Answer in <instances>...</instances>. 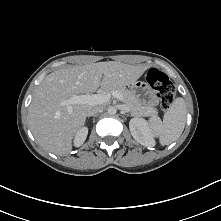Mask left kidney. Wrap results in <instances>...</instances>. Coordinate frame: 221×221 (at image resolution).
I'll list each match as a JSON object with an SVG mask.
<instances>
[{"mask_svg": "<svg viewBox=\"0 0 221 221\" xmlns=\"http://www.w3.org/2000/svg\"><path fill=\"white\" fill-rule=\"evenodd\" d=\"M129 129L133 138L141 145L147 147L155 146L154 135L145 119L138 117L132 118L129 122Z\"/></svg>", "mask_w": 221, "mask_h": 221, "instance_id": "obj_1", "label": "left kidney"}]
</instances>
